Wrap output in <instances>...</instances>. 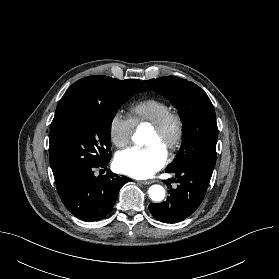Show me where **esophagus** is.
<instances>
[{
	"mask_svg": "<svg viewBox=\"0 0 279 279\" xmlns=\"http://www.w3.org/2000/svg\"><path fill=\"white\" fill-rule=\"evenodd\" d=\"M155 180H144V181H139V183L144 184V185H149L154 183Z\"/></svg>",
	"mask_w": 279,
	"mask_h": 279,
	"instance_id": "34e87169",
	"label": "esophagus"
}]
</instances>
